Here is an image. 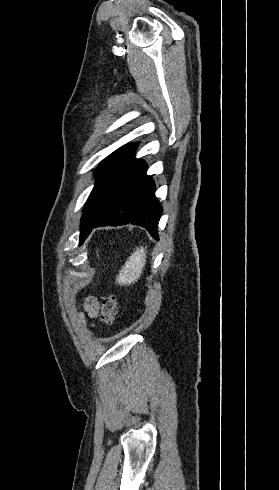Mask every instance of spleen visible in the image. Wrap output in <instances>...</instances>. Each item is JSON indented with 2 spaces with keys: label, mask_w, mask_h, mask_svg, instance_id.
Returning <instances> with one entry per match:
<instances>
[{
  "label": "spleen",
  "mask_w": 279,
  "mask_h": 490,
  "mask_svg": "<svg viewBox=\"0 0 279 490\" xmlns=\"http://www.w3.org/2000/svg\"><path fill=\"white\" fill-rule=\"evenodd\" d=\"M146 258V248H143V246L136 248L135 252L129 256L127 262L122 266L116 278V284L130 286V284L138 282L141 274H143L144 266L147 262Z\"/></svg>",
  "instance_id": "obj_1"
}]
</instances>
